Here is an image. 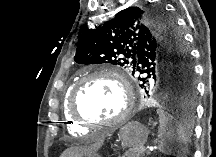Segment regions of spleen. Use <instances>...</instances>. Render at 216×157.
Returning a JSON list of instances; mask_svg holds the SVG:
<instances>
[{"mask_svg": "<svg viewBox=\"0 0 216 157\" xmlns=\"http://www.w3.org/2000/svg\"><path fill=\"white\" fill-rule=\"evenodd\" d=\"M159 116L158 150L165 155L185 157L188 151L189 135L183 120H177L162 109Z\"/></svg>", "mask_w": 216, "mask_h": 157, "instance_id": "obj_1", "label": "spleen"}]
</instances>
